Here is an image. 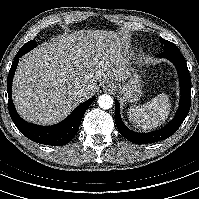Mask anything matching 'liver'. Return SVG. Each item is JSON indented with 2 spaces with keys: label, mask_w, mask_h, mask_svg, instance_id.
I'll return each mask as SVG.
<instances>
[{
  "label": "liver",
  "mask_w": 199,
  "mask_h": 199,
  "mask_svg": "<svg viewBox=\"0 0 199 199\" xmlns=\"http://www.w3.org/2000/svg\"><path fill=\"white\" fill-rule=\"evenodd\" d=\"M128 46L107 30L65 33L24 55L13 81V101L25 120L51 125L93 95L97 82L129 75ZM85 87L82 97L74 95Z\"/></svg>",
  "instance_id": "liver-1"
}]
</instances>
